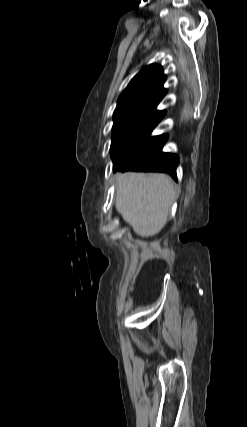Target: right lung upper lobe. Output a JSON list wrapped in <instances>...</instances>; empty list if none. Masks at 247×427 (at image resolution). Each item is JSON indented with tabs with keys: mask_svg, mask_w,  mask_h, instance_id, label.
Instances as JSON below:
<instances>
[{
	"mask_svg": "<svg viewBox=\"0 0 247 427\" xmlns=\"http://www.w3.org/2000/svg\"><path fill=\"white\" fill-rule=\"evenodd\" d=\"M165 80L160 65L144 67L120 95L114 114L141 112L150 115L156 112L157 105L166 93L163 88Z\"/></svg>",
	"mask_w": 247,
	"mask_h": 427,
	"instance_id": "1",
	"label": "right lung upper lobe"
}]
</instances>
